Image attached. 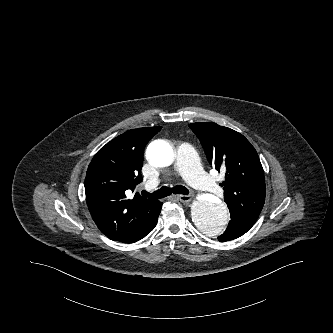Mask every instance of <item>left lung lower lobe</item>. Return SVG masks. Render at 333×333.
<instances>
[{
  "instance_id": "0a47b994",
  "label": "left lung lower lobe",
  "mask_w": 333,
  "mask_h": 333,
  "mask_svg": "<svg viewBox=\"0 0 333 333\" xmlns=\"http://www.w3.org/2000/svg\"><path fill=\"white\" fill-rule=\"evenodd\" d=\"M230 218L231 220L229 221L227 229L218 237L220 242H225L242 236L253 226L258 217L246 215L236 209H230Z\"/></svg>"
}]
</instances>
